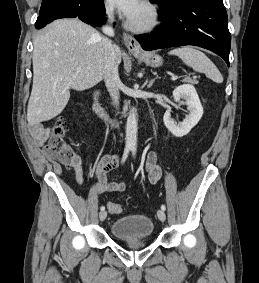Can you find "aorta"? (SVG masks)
Listing matches in <instances>:
<instances>
[{
	"label": "aorta",
	"mask_w": 259,
	"mask_h": 283,
	"mask_svg": "<svg viewBox=\"0 0 259 283\" xmlns=\"http://www.w3.org/2000/svg\"><path fill=\"white\" fill-rule=\"evenodd\" d=\"M137 110L132 108L127 117L126 123V144L128 146H135L137 143Z\"/></svg>",
	"instance_id": "1"
}]
</instances>
